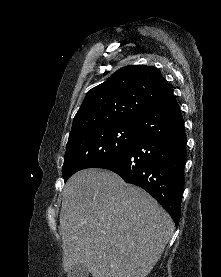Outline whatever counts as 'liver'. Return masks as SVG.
I'll list each match as a JSON object with an SVG mask.
<instances>
[{
    "mask_svg": "<svg viewBox=\"0 0 221 277\" xmlns=\"http://www.w3.org/2000/svg\"><path fill=\"white\" fill-rule=\"evenodd\" d=\"M174 230L173 220L143 189L116 173L72 175L60 212L63 270L84 264L93 277H146Z\"/></svg>",
    "mask_w": 221,
    "mask_h": 277,
    "instance_id": "liver-1",
    "label": "liver"
}]
</instances>
